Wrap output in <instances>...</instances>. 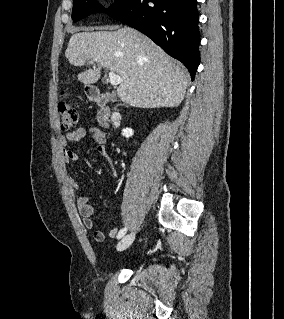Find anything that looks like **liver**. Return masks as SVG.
I'll use <instances>...</instances> for the list:
<instances>
[{"label": "liver", "instance_id": "6515ba94", "mask_svg": "<svg viewBox=\"0 0 284 319\" xmlns=\"http://www.w3.org/2000/svg\"><path fill=\"white\" fill-rule=\"evenodd\" d=\"M81 30L71 36L65 51L74 66L93 63V68L78 74L80 82L96 83L103 68L122 78L117 95L131 106L176 107L183 101L189 73L148 37L126 26L116 31Z\"/></svg>", "mask_w": 284, "mask_h": 319}]
</instances>
